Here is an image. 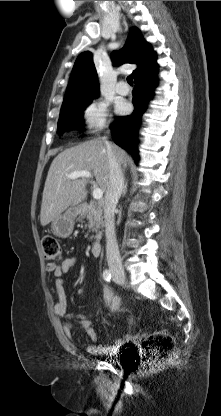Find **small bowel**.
<instances>
[{"label": "small bowel", "mask_w": 221, "mask_h": 416, "mask_svg": "<svg viewBox=\"0 0 221 416\" xmlns=\"http://www.w3.org/2000/svg\"><path fill=\"white\" fill-rule=\"evenodd\" d=\"M78 264V260L74 256L65 258L60 264L47 263L45 270L48 273L53 274L56 277L55 287L58 296V300L54 306V312L57 316L66 319L77 318L86 331V334L92 341L88 346L87 351L94 355H111L115 354L123 346L132 342L133 337L131 334H125L124 336L117 338L110 346H104L98 343V334L92 327L91 321L83 315H76L70 313L68 310L67 297L65 293L64 283L61 277L74 269ZM103 301L104 304L111 310L116 311L120 307V298L113 293V291L107 285L102 286ZM64 332L67 337L73 338V326L70 322L64 326Z\"/></svg>", "instance_id": "obj_1"}]
</instances>
